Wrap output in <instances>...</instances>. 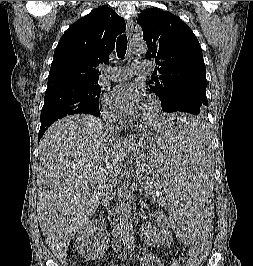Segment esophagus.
Listing matches in <instances>:
<instances>
[{"mask_svg":"<svg viewBox=\"0 0 253 266\" xmlns=\"http://www.w3.org/2000/svg\"><path fill=\"white\" fill-rule=\"evenodd\" d=\"M133 30H134V22L132 19H128L127 20V24H126V32H127V36L131 39L132 34H133ZM134 141V136L133 135H128L125 138V143L127 144H131Z\"/></svg>","mask_w":253,"mask_h":266,"instance_id":"34e87169","label":"esophagus"}]
</instances>
